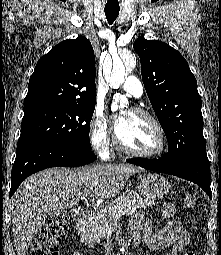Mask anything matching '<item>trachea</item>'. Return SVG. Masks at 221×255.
<instances>
[{"label":"trachea","mask_w":221,"mask_h":255,"mask_svg":"<svg viewBox=\"0 0 221 255\" xmlns=\"http://www.w3.org/2000/svg\"><path fill=\"white\" fill-rule=\"evenodd\" d=\"M118 14H119V9H115V8L105 9V15L109 24H112L115 21V19L118 17Z\"/></svg>","instance_id":"1"}]
</instances>
